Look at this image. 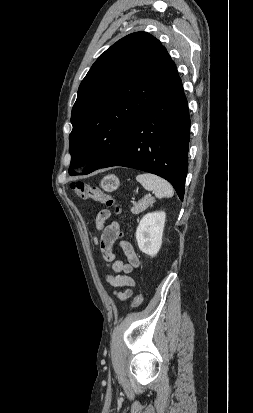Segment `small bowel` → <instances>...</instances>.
I'll return each instance as SVG.
<instances>
[{
  "instance_id": "small-bowel-1",
  "label": "small bowel",
  "mask_w": 253,
  "mask_h": 413,
  "mask_svg": "<svg viewBox=\"0 0 253 413\" xmlns=\"http://www.w3.org/2000/svg\"><path fill=\"white\" fill-rule=\"evenodd\" d=\"M110 215L109 210L104 209L101 210L96 217V228L100 232V238L97 240V243L104 260L109 263L114 273L108 277L110 285L117 288L130 287L133 286L135 282L129 274L134 268L139 266L140 260L133 246L127 241L120 242V247L126 256L127 262L115 259L113 246L118 239L120 226L116 221L106 224ZM114 294L118 299L126 300L132 296V290L127 288L124 291H115Z\"/></svg>"
}]
</instances>
